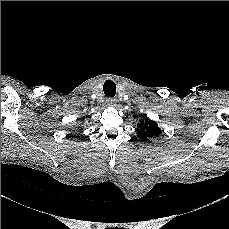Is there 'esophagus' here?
Listing matches in <instances>:
<instances>
[{"mask_svg": "<svg viewBox=\"0 0 229 229\" xmlns=\"http://www.w3.org/2000/svg\"><path fill=\"white\" fill-rule=\"evenodd\" d=\"M106 105L107 106H115L116 105V102H115V99L109 97L106 99Z\"/></svg>", "mask_w": 229, "mask_h": 229, "instance_id": "1", "label": "esophagus"}]
</instances>
